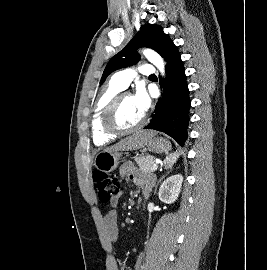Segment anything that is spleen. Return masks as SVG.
Here are the masks:
<instances>
[{
	"label": "spleen",
	"mask_w": 267,
	"mask_h": 270,
	"mask_svg": "<svg viewBox=\"0 0 267 270\" xmlns=\"http://www.w3.org/2000/svg\"><path fill=\"white\" fill-rule=\"evenodd\" d=\"M178 155L176 153L170 154L166 157L164 163L167 167H172V165L176 162Z\"/></svg>",
	"instance_id": "obj_1"
}]
</instances>
